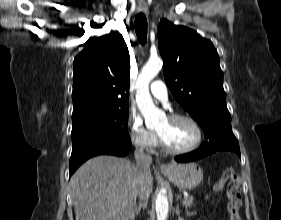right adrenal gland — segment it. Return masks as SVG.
Returning a JSON list of instances; mask_svg holds the SVG:
<instances>
[{"label": "right adrenal gland", "mask_w": 281, "mask_h": 220, "mask_svg": "<svg viewBox=\"0 0 281 220\" xmlns=\"http://www.w3.org/2000/svg\"><path fill=\"white\" fill-rule=\"evenodd\" d=\"M146 207H147L146 203L140 202L138 207H136V215L138 216L140 211H141V209H145Z\"/></svg>", "instance_id": "1"}]
</instances>
